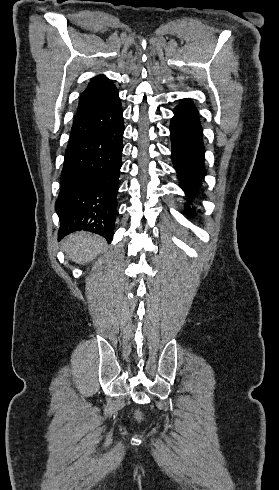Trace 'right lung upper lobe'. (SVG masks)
<instances>
[{"instance_id":"right-lung-upper-lobe-1","label":"right lung upper lobe","mask_w":279,"mask_h":490,"mask_svg":"<svg viewBox=\"0 0 279 490\" xmlns=\"http://www.w3.org/2000/svg\"><path fill=\"white\" fill-rule=\"evenodd\" d=\"M118 90L104 75L91 79L79 98L69 144L98 135L122 120Z\"/></svg>"}]
</instances>
